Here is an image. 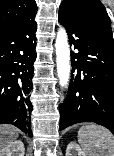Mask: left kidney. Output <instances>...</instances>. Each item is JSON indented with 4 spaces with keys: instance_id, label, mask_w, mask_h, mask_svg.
Wrapping results in <instances>:
<instances>
[{
    "instance_id": "obj_1",
    "label": "left kidney",
    "mask_w": 114,
    "mask_h": 156,
    "mask_svg": "<svg viewBox=\"0 0 114 156\" xmlns=\"http://www.w3.org/2000/svg\"><path fill=\"white\" fill-rule=\"evenodd\" d=\"M66 156H86L80 146L72 141L67 145Z\"/></svg>"
}]
</instances>
